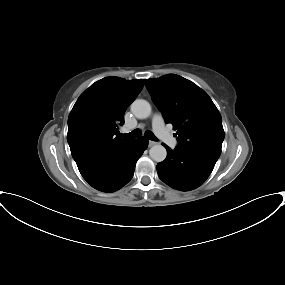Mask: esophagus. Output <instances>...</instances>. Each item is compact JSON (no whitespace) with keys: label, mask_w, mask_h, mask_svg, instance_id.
<instances>
[{"label":"esophagus","mask_w":285,"mask_h":285,"mask_svg":"<svg viewBox=\"0 0 285 285\" xmlns=\"http://www.w3.org/2000/svg\"><path fill=\"white\" fill-rule=\"evenodd\" d=\"M157 144V142H155V141H149V147H151V146H154V145H156Z\"/></svg>","instance_id":"34e87169"}]
</instances>
